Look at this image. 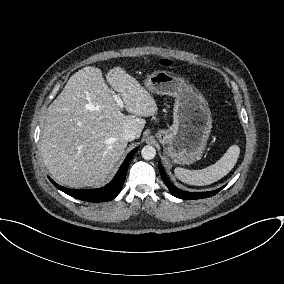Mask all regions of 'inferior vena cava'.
I'll use <instances>...</instances> for the list:
<instances>
[{
  "label": "inferior vena cava",
  "instance_id": "1",
  "mask_svg": "<svg viewBox=\"0 0 284 284\" xmlns=\"http://www.w3.org/2000/svg\"><path fill=\"white\" fill-rule=\"evenodd\" d=\"M122 137L126 141H133L136 138V132L132 128H127L124 130Z\"/></svg>",
  "mask_w": 284,
  "mask_h": 284
}]
</instances>
